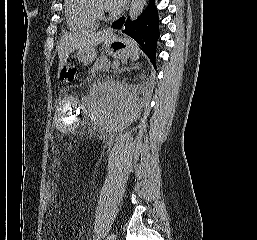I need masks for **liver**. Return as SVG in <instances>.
I'll return each instance as SVG.
<instances>
[{
	"label": "liver",
	"instance_id": "liver-1",
	"mask_svg": "<svg viewBox=\"0 0 257 240\" xmlns=\"http://www.w3.org/2000/svg\"><path fill=\"white\" fill-rule=\"evenodd\" d=\"M110 30L92 31L82 30L74 33L64 34L59 42V70L63 68L69 55L75 50L96 47L108 36Z\"/></svg>",
	"mask_w": 257,
	"mask_h": 240
}]
</instances>
